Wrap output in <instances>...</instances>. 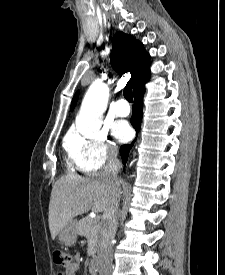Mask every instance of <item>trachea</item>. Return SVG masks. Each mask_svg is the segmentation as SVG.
<instances>
[{
	"instance_id": "3493384b",
	"label": "trachea",
	"mask_w": 225,
	"mask_h": 275,
	"mask_svg": "<svg viewBox=\"0 0 225 275\" xmlns=\"http://www.w3.org/2000/svg\"><path fill=\"white\" fill-rule=\"evenodd\" d=\"M124 97L130 102H133V96H132V88L130 86H127L124 88L123 91Z\"/></svg>"
}]
</instances>
